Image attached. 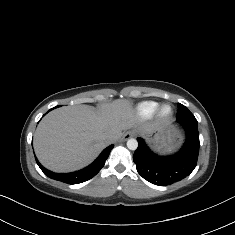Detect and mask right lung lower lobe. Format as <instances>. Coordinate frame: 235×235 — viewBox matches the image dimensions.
I'll list each match as a JSON object with an SVG mask.
<instances>
[{"instance_id": "obj_1", "label": "right lung lower lobe", "mask_w": 235, "mask_h": 235, "mask_svg": "<svg viewBox=\"0 0 235 235\" xmlns=\"http://www.w3.org/2000/svg\"><path fill=\"white\" fill-rule=\"evenodd\" d=\"M52 110V109H51ZM50 111V110H49ZM114 146L110 145L106 149L102 151V153L99 155V157L89 166L86 168L72 172V173H54L46 168H44L39 161L36 159V162L40 169L44 172L46 176H48L51 179L58 180L67 184H78L85 182L92 177H94L104 166L106 159L108 158L112 148Z\"/></svg>"}]
</instances>
